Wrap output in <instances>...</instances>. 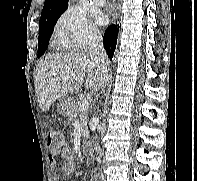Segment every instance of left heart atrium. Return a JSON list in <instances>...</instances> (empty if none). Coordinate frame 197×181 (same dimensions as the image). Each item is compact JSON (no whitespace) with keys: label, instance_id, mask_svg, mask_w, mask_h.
<instances>
[{"label":"left heart atrium","instance_id":"left-heart-atrium-1","mask_svg":"<svg viewBox=\"0 0 197 181\" xmlns=\"http://www.w3.org/2000/svg\"><path fill=\"white\" fill-rule=\"evenodd\" d=\"M94 19L99 25H103L106 22V16L100 12L94 14Z\"/></svg>","mask_w":197,"mask_h":181}]
</instances>
